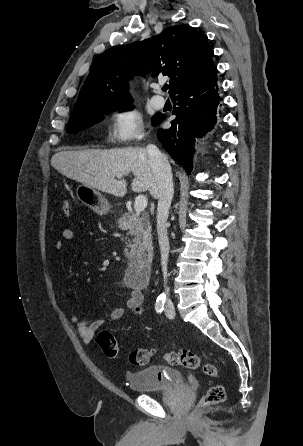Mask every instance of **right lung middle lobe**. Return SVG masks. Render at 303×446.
I'll return each mask as SVG.
<instances>
[{
	"instance_id": "dd1d6c3e",
	"label": "right lung middle lobe",
	"mask_w": 303,
	"mask_h": 446,
	"mask_svg": "<svg viewBox=\"0 0 303 446\" xmlns=\"http://www.w3.org/2000/svg\"><path fill=\"white\" fill-rule=\"evenodd\" d=\"M133 108L132 105L128 104V105H123V106H111V105H107V106H102V107H98L96 109H93L91 111L82 113V114H78V115H73L70 118L68 127H67V133H77L82 129H86L92 125H94L95 123L100 122L103 119V114L117 110V109H122V110H131ZM160 114H156L153 118V125H156V122L159 118Z\"/></svg>"
}]
</instances>
